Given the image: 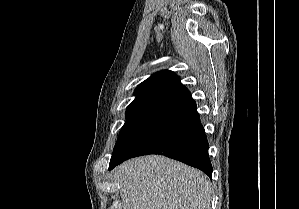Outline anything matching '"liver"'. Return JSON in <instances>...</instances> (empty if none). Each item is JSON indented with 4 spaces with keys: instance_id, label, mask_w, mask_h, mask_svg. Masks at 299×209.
<instances>
[{
    "instance_id": "obj_1",
    "label": "liver",
    "mask_w": 299,
    "mask_h": 209,
    "mask_svg": "<svg viewBox=\"0 0 299 209\" xmlns=\"http://www.w3.org/2000/svg\"><path fill=\"white\" fill-rule=\"evenodd\" d=\"M123 209H210L211 182L201 171L160 155L134 158L114 172Z\"/></svg>"
}]
</instances>
